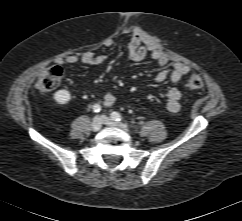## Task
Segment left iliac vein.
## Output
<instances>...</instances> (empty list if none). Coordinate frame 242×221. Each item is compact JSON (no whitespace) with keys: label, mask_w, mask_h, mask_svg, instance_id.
Returning a JSON list of instances; mask_svg holds the SVG:
<instances>
[{"label":"left iliac vein","mask_w":242,"mask_h":221,"mask_svg":"<svg viewBox=\"0 0 242 221\" xmlns=\"http://www.w3.org/2000/svg\"><path fill=\"white\" fill-rule=\"evenodd\" d=\"M101 120L102 122L105 124V125H108V126H115V127H118L126 132H128V129L126 127L125 124L123 123H120V122H116L112 119H110L109 117L105 116V115H102L101 116Z\"/></svg>","instance_id":"1"}]
</instances>
